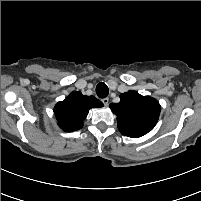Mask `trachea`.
Masks as SVG:
<instances>
[{
	"instance_id": "3493384b",
	"label": "trachea",
	"mask_w": 201,
	"mask_h": 201,
	"mask_svg": "<svg viewBox=\"0 0 201 201\" xmlns=\"http://www.w3.org/2000/svg\"><path fill=\"white\" fill-rule=\"evenodd\" d=\"M96 94L98 95V97L100 98H105L108 96L109 94V89L107 87V85L103 82H100L97 86H96Z\"/></svg>"
}]
</instances>
